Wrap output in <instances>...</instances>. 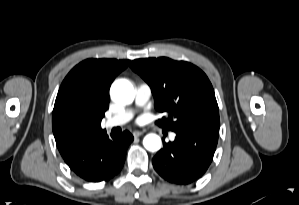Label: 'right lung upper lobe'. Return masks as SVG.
Returning a JSON list of instances; mask_svg holds the SVG:
<instances>
[{
    "instance_id": "obj_1",
    "label": "right lung upper lobe",
    "mask_w": 299,
    "mask_h": 205,
    "mask_svg": "<svg viewBox=\"0 0 299 205\" xmlns=\"http://www.w3.org/2000/svg\"><path fill=\"white\" fill-rule=\"evenodd\" d=\"M129 60L87 59L65 77L56 97L52 130L65 162L90 140L106 133L101 120L109 108V88Z\"/></svg>"
}]
</instances>
